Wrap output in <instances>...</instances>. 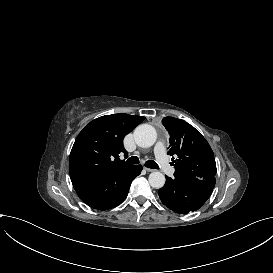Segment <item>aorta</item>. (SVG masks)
<instances>
[{
	"label": "aorta",
	"mask_w": 273,
	"mask_h": 273,
	"mask_svg": "<svg viewBox=\"0 0 273 273\" xmlns=\"http://www.w3.org/2000/svg\"><path fill=\"white\" fill-rule=\"evenodd\" d=\"M134 139L138 146L148 148L154 145L157 139V133L153 126L141 124L134 131ZM165 176L158 171L149 175L148 181L153 188H162L165 184Z\"/></svg>",
	"instance_id": "1"
}]
</instances>
